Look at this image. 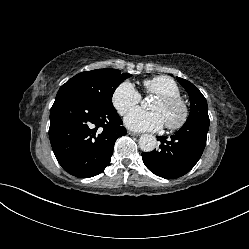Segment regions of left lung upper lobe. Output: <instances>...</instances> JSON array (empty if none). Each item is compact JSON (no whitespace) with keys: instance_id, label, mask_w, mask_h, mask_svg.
Wrapping results in <instances>:
<instances>
[{"instance_id":"1","label":"left lung upper lobe","mask_w":249,"mask_h":249,"mask_svg":"<svg viewBox=\"0 0 249 249\" xmlns=\"http://www.w3.org/2000/svg\"><path fill=\"white\" fill-rule=\"evenodd\" d=\"M177 81L186 89L190 97V114L186 123L200 118L209 119L207 101L202 93L191 82L185 79L177 77Z\"/></svg>"}]
</instances>
